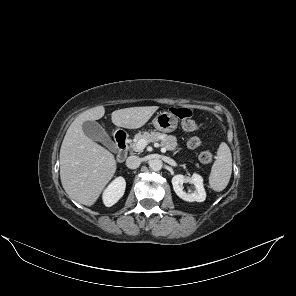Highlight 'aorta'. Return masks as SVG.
<instances>
[{
    "mask_svg": "<svg viewBox=\"0 0 296 296\" xmlns=\"http://www.w3.org/2000/svg\"><path fill=\"white\" fill-rule=\"evenodd\" d=\"M163 162L160 159L151 160L149 163V167L153 171H160L162 169Z\"/></svg>",
    "mask_w": 296,
    "mask_h": 296,
    "instance_id": "762f6f07",
    "label": "aorta"
}]
</instances>
